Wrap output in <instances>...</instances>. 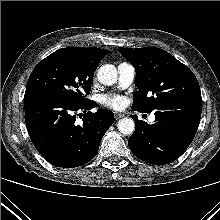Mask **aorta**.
<instances>
[{"label": "aorta", "mask_w": 220, "mask_h": 220, "mask_svg": "<svg viewBox=\"0 0 220 220\" xmlns=\"http://www.w3.org/2000/svg\"><path fill=\"white\" fill-rule=\"evenodd\" d=\"M117 70L114 65L105 64L97 72V78L103 85H113L117 81ZM117 128L124 135H131L135 130V122L131 118H123L118 121Z\"/></svg>", "instance_id": "aorta-1"}]
</instances>
